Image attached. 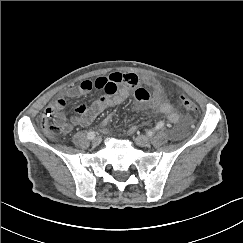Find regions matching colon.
Listing matches in <instances>:
<instances>
[{"instance_id":"colon-1","label":"colon","mask_w":243,"mask_h":243,"mask_svg":"<svg viewBox=\"0 0 243 243\" xmlns=\"http://www.w3.org/2000/svg\"><path fill=\"white\" fill-rule=\"evenodd\" d=\"M180 104L189 112H196L197 106L186 96L180 97ZM41 126L52 136H58L66 132L64 117H58L57 113H45L41 118Z\"/></svg>"}]
</instances>
